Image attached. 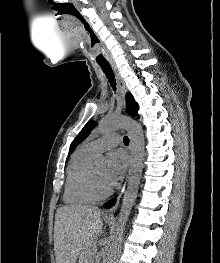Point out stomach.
<instances>
[{
    "label": "stomach",
    "instance_id": "stomach-1",
    "mask_svg": "<svg viewBox=\"0 0 220 263\" xmlns=\"http://www.w3.org/2000/svg\"><path fill=\"white\" fill-rule=\"evenodd\" d=\"M107 222H109L110 220L109 219H106Z\"/></svg>",
    "mask_w": 220,
    "mask_h": 263
}]
</instances>
